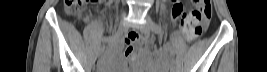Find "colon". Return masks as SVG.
Here are the masks:
<instances>
[{"mask_svg":"<svg viewBox=\"0 0 267 72\" xmlns=\"http://www.w3.org/2000/svg\"><path fill=\"white\" fill-rule=\"evenodd\" d=\"M95 0H66L67 12L71 15L84 16L88 12V5ZM195 9L190 14L195 17V22L185 24L178 20V25L183 31L188 41L197 40L202 32L208 27L211 18V1L210 0H194ZM174 11H180L179 2H174Z\"/></svg>","mask_w":267,"mask_h":72,"instance_id":"1","label":"colon"}]
</instances>
